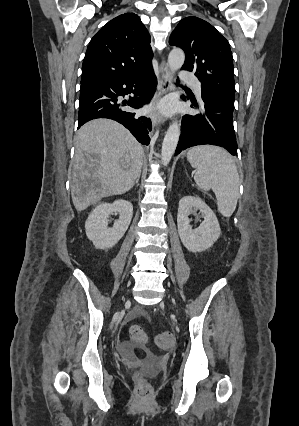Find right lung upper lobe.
Returning <instances> with one entry per match:
<instances>
[{
    "label": "right lung upper lobe",
    "mask_w": 299,
    "mask_h": 426,
    "mask_svg": "<svg viewBox=\"0 0 299 426\" xmlns=\"http://www.w3.org/2000/svg\"><path fill=\"white\" fill-rule=\"evenodd\" d=\"M150 42L138 15L125 13L112 19L88 45L81 84L109 82L152 68Z\"/></svg>",
    "instance_id": "cb5924a9"
}]
</instances>
